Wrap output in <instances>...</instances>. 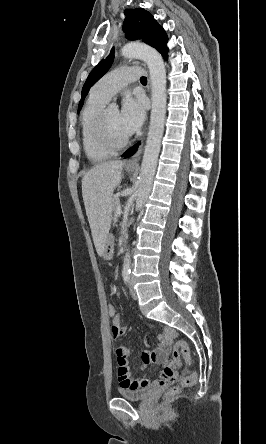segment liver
<instances>
[{"instance_id": "liver-1", "label": "liver", "mask_w": 266, "mask_h": 444, "mask_svg": "<svg viewBox=\"0 0 266 444\" xmlns=\"http://www.w3.org/2000/svg\"><path fill=\"white\" fill-rule=\"evenodd\" d=\"M124 162L110 161L91 168L82 179V195L94 245L102 256L112 218V196L121 183Z\"/></svg>"}]
</instances>
